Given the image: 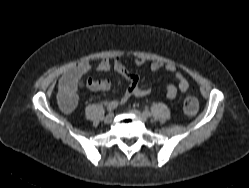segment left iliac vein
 <instances>
[{
	"label": "left iliac vein",
	"mask_w": 249,
	"mask_h": 188,
	"mask_svg": "<svg viewBox=\"0 0 249 188\" xmlns=\"http://www.w3.org/2000/svg\"><path fill=\"white\" fill-rule=\"evenodd\" d=\"M129 112L133 115H136L137 117H139L143 121L148 120V117L144 113L140 112L139 110L131 109V110H129Z\"/></svg>",
	"instance_id": "left-iliac-vein-1"
}]
</instances>
